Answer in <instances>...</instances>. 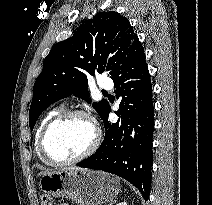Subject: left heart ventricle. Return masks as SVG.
I'll return each instance as SVG.
<instances>
[{
	"label": "left heart ventricle",
	"mask_w": 212,
	"mask_h": 205,
	"mask_svg": "<svg viewBox=\"0 0 212 205\" xmlns=\"http://www.w3.org/2000/svg\"><path fill=\"white\" fill-rule=\"evenodd\" d=\"M92 139L91 124L84 118L73 117L54 126L47 136L46 144L54 157L64 160L85 151Z\"/></svg>",
	"instance_id": "b2bd125f"
}]
</instances>
